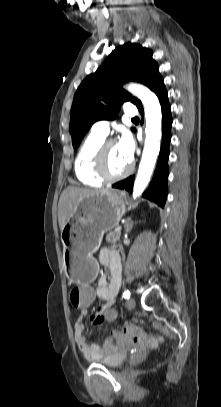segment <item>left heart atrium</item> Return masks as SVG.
Segmentation results:
<instances>
[{"label": "left heart atrium", "mask_w": 221, "mask_h": 407, "mask_svg": "<svg viewBox=\"0 0 221 407\" xmlns=\"http://www.w3.org/2000/svg\"><path fill=\"white\" fill-rule=\"evenodd\" d=\"M118 146L124 157H126L130 161L133 156L135 148L132 137L127 133L124 134L119 140Z\"/></svg>", "instance_id": "left-heart-atrium-1"}]
</instances>
